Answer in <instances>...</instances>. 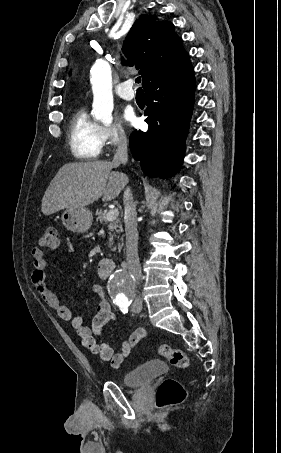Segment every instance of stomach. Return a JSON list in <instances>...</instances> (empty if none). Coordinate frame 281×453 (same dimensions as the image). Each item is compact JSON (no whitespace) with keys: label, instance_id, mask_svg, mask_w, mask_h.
Wrapping results in <instances>:
<instances>
[{"label":"stomach","instance_id":"0dacf381","mask_svg":"<svg viewBox=\"0 0 281 453\" xmlns=\"http://www.w3.org/2000/svg\"><path fill=\"white\" fill-rule=\"evenodd\" d=\"M61 220L67 231L87 233L91 227L93 216L86 206H77V208H66L61 214Z\"/></svg>","mask_w":281,"mask_h":453}]
</instances>
